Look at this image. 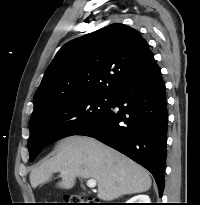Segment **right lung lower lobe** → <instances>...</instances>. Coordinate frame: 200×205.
Returning a JSON list of instances; mask_svg holds the SVG:
<instances>
[{
    "label": "right lung lower lobe",
    "instance_id": "1",
    "mask_svg": "<svg viewBox=\"0 0 200 205\" xmlns=\"http://www.w3.org/2000/svg\"><path fill=\"white\" fill-rule=\"evenodd\" d=\"M118 106L120 111L111 108ZM165 84L156 62L111 96L108 112L77 135L96 138L148 169L162 196L167 143Z\"/></svg>",
    "mask_w": 200,
    "mask_h": 205
}]
</instances>
